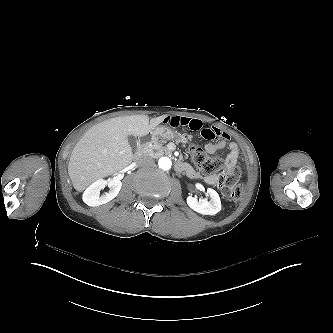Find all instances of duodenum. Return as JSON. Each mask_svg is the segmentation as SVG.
<instances>
[{
    "label": "duodenum",
    "mask_w": 333,
    "mask_h": 333,
    "mask_svg": "<svg viewBox=\"0 0 333 333\" xmlns=\"http://www.w3.org/2000/svg\"><path fill=\"white\" fill-rule=\"evenodd\" d=\"M149 136H150V133H146L141 136V138L139 140V144H138V149L135 153L136 158H139L142 155V153L144 152ZM176 169L179 172H185L188 176H190L192 178H196L198 176L197 173L194 171V169L185 163H181V162L177 163Z\"/></svg>",
    "instance_id": "1"
}]
</instances>
